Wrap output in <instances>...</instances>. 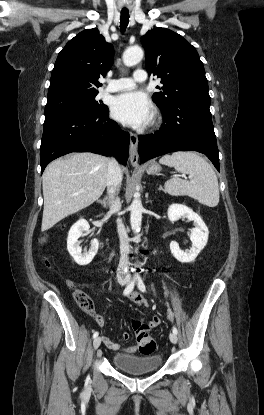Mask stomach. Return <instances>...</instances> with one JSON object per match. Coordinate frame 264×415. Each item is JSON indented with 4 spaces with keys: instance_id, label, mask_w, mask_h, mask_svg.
<instances>
[{
    "instance_id": "stomach-1",
    "label": "stomach",
    "mask_w": 264,
    "mask_h": 415,
    "mask_svg": "<svg viewBox=\"0 0 264 415\" xmlns=\"http://www.w3.org/2000/svg\"><path fill=\"white\" fill-rule=\"evenodd\" d=\"M146 171L150 175L157 174L161 171V166L156 162H150L147 166Z\"/></svg>"
}]
</instances>
